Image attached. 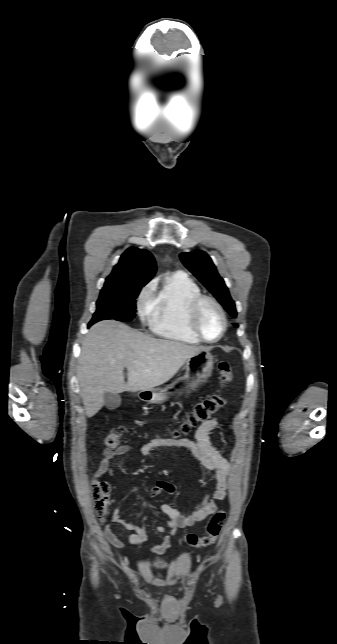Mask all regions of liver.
<instances>
[{"label": "liver", "mask_w": 337, "mask_h": 644, "mask_svg": "<svg viewBox=\"0 0 337 644\" xmlns=\"http://www.w3.org/2000/svg\"><path fill=\"white\" fill-rule=\"evenodd\" d=\"M202 349L152 338L114 320L98 322L82 342L77 369L87 417L103 407L105 392L151 391L170 380L188 358Z\"/></svg>", "instance_id": "6515ba94"}]
</instances>
